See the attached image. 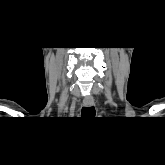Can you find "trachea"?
Masks as SVG:
<instances>
[{"instance_id": "trachea-1", "label": "trachea", "mask_w": 165, "mask_h": 165, "mask_svg": "<svg viewBox=\"0 0 165 165\" xmlns=\"http://www.w3.org/2000/svg\"><path fill=\"white\" fill-rule=\"evenodd\" d=\"M82 117H94L95 116V108L91 107H83L81 111Z\"/></svg>"}]
</instances>
